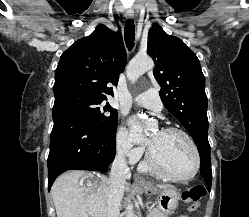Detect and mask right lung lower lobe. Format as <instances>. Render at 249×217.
<instances>
[{
    "instance_id": "98d812e1",
    "label": "right lung lower lobe",
    "mask_w": 249,
    "mask_h": 217,
    "mask_svg": "<svg viewBox=\"0 0 249 217\" xmlns=\"http://www.w3.org/2000/svg\"><path fill=\"white\" fill-rule=\"evenodd\" d=\"M48 156V190L67 170L106 172L115 157V132L94 129L70 109L53 107Z\"/></svg>"
}]
</instances>
